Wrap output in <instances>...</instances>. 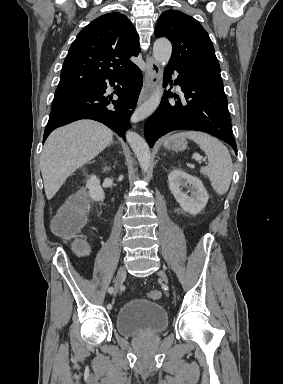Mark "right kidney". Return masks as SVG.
<instances>
[{"instance_id": "ca27d5eb", "label": "right kidney", "mask_w": 283, "mask_h": 384, "mask_svg": "<svg viewBox=\"0 0 283 384\" xmlns=\"http://www.w3.org/2000/svg\"><path fill=\"white\" fill-rule=\"evenodd\" d=\"M104 170L106 172V170H109V168H104ZM86 188H88L89 196L90 198H92V200H95V202H102V200H104L105 194L96 176H89V180H87Z\"/></svg>"}]
</instances>
